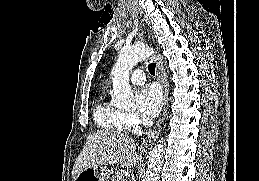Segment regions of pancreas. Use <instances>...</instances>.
<instances>
[{"instance_id": "pancreas-1", "label": "pancreas", "mask_w": 259, "mask_h": 181, "mask_svg": "<svg viewBox=\"0 0 259 181\" xmlns=\"http://www.w3.org/2000/svg\"><path fill=\"white\" fill-rule=\"evenodd\" d=\"M124 171L118 170L115 172V174L112 176L111 181H121L123 178Z\"/></svg>"}]
</instances>
